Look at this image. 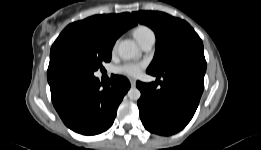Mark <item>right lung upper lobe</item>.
I'll return each mask as SVG.
<instances>
[{"label": "right lung upper lobe", "instance_id": "right-lung-upper-lobe-1", "mask_svg": "<svg viewBox=\"0 0 261 150\" xmlns=\"http://www.w3.org/2000/svg\"><path fill=\"white\" fill-rule=\"evenodd\" d=\"M136 24L137 22L131 17L130 13L95 15L69 24L61 34L72 30H89L115 43L120 35Z\"/></svg>", "mask_w": 261, "mask_h": 150}]
</instances>
